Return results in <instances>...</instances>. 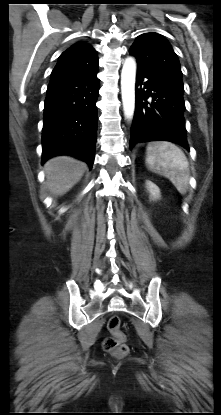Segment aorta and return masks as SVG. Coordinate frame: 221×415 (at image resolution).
Here are the masks:
<instances>
[{
	"mask_svg": "<svg viewBox=\"0 0 221 415\" xmlns=\"http://www.w3.org/2000/svg\"><path fill=\"white\" fill-rule=\"evenodd\" d=\"M135 77L136 61L128 57L122 68L121 73V94L123 111L126 119H132L135 109Z\"/></svg>",
	"mask_w": 221,
	"mask_h": 415,
	"instance_id": "obj_1",
	"label": "aorta"
}]
</instances>
